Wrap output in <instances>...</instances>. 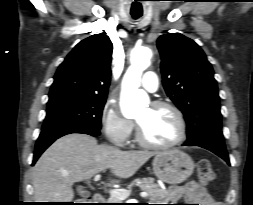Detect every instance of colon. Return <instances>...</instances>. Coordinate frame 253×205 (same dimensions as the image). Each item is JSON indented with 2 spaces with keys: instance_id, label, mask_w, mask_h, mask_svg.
Instances as JSON below:
<instances>
[{
  "instance_id": "1",
  "label": "colon",
  "mask_w": 253,
  "mask_h": 205,
  "mask_svg": "<svg viewBox=\"0 0 253 205\" xmlns=\"http://www.w3.org/2000/svg\"><path fill=\"white\" fill-rule=\"evenodd\" d=\"M198 181L202 186L209 185L216 180V173L209 160L203 159L197 165ZM77 205H89L86 200H80Z\"/></svg>"
}]
</instances>
